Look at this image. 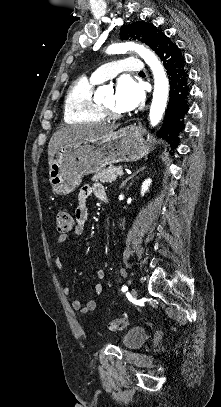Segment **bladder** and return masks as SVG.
<instances>
[{"mask_svg": "<svg viewBox=\"0 0 221 407\" xmlns=\"http://www.w3.org/2000/svg\"><path fill=\"white\" fill-rule=\"evenodd\" d=\"M147 339V330L144 327H132L125 331L121 340L125 348L134 350L140 348Z\"/></svg>", "mask_w": 221, "mask_h": 407, "instance_id": "obj_1", "label": "bladder"}]
</instances>
